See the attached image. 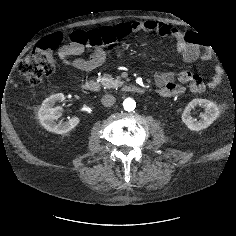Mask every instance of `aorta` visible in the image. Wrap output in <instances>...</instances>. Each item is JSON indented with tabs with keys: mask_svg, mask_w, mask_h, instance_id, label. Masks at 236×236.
<instances>
[{
	"mask_svg": "<svg viewBox=\"0 0 236 236\" xmlns=\"http://www.w3.org/2000/svg\"><path fill=\"white\" fill-rule=\"evenodd\" d=\"M136 107V102L134 99L132 98H126L124 101H123V108L124 110L126 111H133Z\"/></svg>",
	"mask_w": 236,
	"mask_h": 236,
	"instance_id": "aorta-1",
	"label": "aorta"
}]
</instances>
